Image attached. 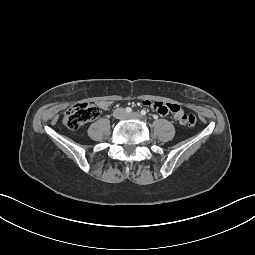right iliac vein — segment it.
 I'll return each mask as SVG.
<instances>
[{
  "mask_svg": "<svg viewBox=\"0 0 255 255\" xmlns=\"http://www.w3.org/2000/svg\"><path fill=\"white\" fill-rule=\"evenodd\" d=\"M113 117L116 119H122L125 117V111L122 108H118L113 112Z\"/></svg>",
  "mask_w": 255,
  "mask_h": 255,
  "instance_id": "right-iliac-vein-1",
  "label": "right iliac vein"
}]
</instances>
